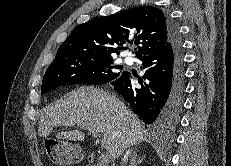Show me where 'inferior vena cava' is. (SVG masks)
Masks as SVG:
<instances>
[{
	"label": "inferior vena cava",
	"mask_w": 231,
	"mask_h": 166,
	"mask_svg": "<svg viewBox=\"0 0 231 166\" xmlns=\"http://www.w3.org/2000/svg\"><path fill=\"white\" fill-rule=\"evenodd\" d=\"M130 153H131V150L128 149V150L126 151V153L124 154V156H123V158H122V163H123V164L126 163V161H127L128 157H129ZM121 166H124V165H121Z\"/></svg>",
	"instance_id": "602c4592"
}]
</instances>
